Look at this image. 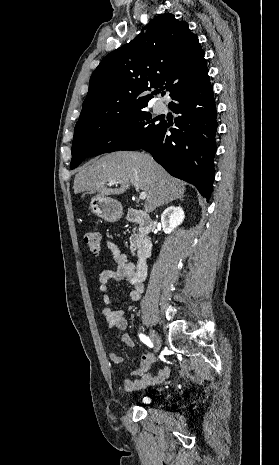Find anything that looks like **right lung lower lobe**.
Returning a JSON list of instances; mask_svg holds the SVG:
<instances>
[{
    "label": "right lung lower lobe",
    "mask_w": 279,
    "mask_h": 465,
    "mask_svg": "<svg viewBox=\"0 0 279 465\" xmlns=\"http://www.w3.org/2000/svg\"><path fill=\"white\" fill-rule=\"evenodd\" d=\"M169 108L180 114L175 120L178 129L164 122L159 133L142 146L124 150L144 149L174 177L193 184L209 199L215 176L214 157L217 150L216 108L209 76L190 85L172 97Z\"/></svg>",
    "instance_id": "right-lung-lower-lobe-1"
}]
</instances>
